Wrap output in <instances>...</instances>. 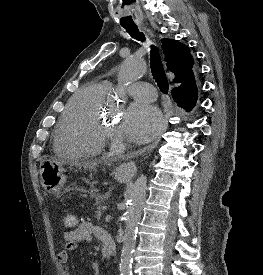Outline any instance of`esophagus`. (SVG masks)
Listing matches in <instances>:
<instances>
[{
  "label": "esophagus",
  "mask_w": 263,
  "mask_h": 275,
  "mask_svg": "<svg viewBox=\"0 0 263 275\" xmlns=\"http://www.w3.org/2000/svg\"><path fill=\"white\" fill-rule=\"evenodd\" d=\"M167 127H168V119H167V115H165L164 121H163V129H162L160 135L157 137V139L151 145H149L146 149H144L147 151V154H149L157 146V144L159 143V141L161 139L162 133L167 129ZM118 170L124 176L133 177L137 171L136 162H134V161L124 162L118 167Z\"/></svg>",
  "instance_id": "34e87169"
}]
</instances>
